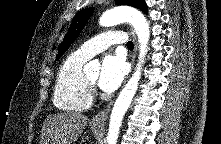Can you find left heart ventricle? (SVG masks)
<instances>
[{"mask_svg":"<svg viewBox=\"0 0 221 144\" xmlns=\"http://www.w3.org/2000/svg\"><path fill=\"white\" fill-rule=\"evenodd\" d=\"M97 77H98V74H92V75H89V76H88V78H89L91 81H93V82L96 81Z\"/></svg>","mask_w":221,"mask_h":144,"instance_id":"left-heart-ventricle-1","label":"left heart ventricle"}]
</instances>
